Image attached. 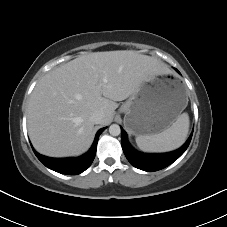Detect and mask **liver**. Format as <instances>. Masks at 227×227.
Returning <instances> with one entry per match:
<instances>
[{
  "instance_id": "6515ba94",
  "label": "liver",
  "mask_w": 227,
  "mask_h": 227,
  "mask_svg": "<svg viewBox=\"0 0 227 227\" xmlns=\"http://www.w3.org/2000/svg\"><path fill=\"white\" fill-rule=\"evenodd\" d=\"M168 72L157 58L130 50L89 53L51 70L35 86L28 105L34 148L50 157L83 154L94 139V112L103 114L100 124H109L117 101L148 78Z\"/></svg>"
}]
</instances>
